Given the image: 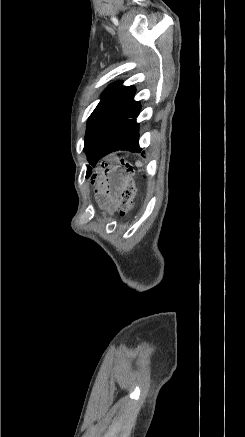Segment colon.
<instances>
[{"mask_svg": "<svg viewBox=\"0 0 245 437\" xmlns=\"http://www.w3.org/2000/svg\"><path fill=\"white\" fill-rule=\"evenodd\" d=\"M136 193V187L133 180V170L125 165V181L120 192V213H127L131 206Z\"/></svg>", "mask_w": 245, "mask_h": 437, "instance_id": "1", "label": "colon"}]
</instances>
